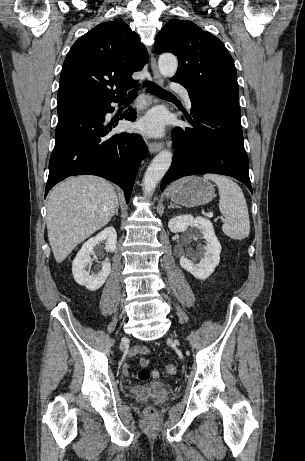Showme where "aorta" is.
Masks as SVG:
<instances>
[{
  "label": "aorta",
  "mask_w": 305,
  "mask_h": 461,
  "mask_svg": "<svg viewBox=\"0 0 305 461\" xmlns=\"http://www.w3.org/2000/svg\"><path fill=\"white\" fill-rule=\"evenodd\" d=\"M158 67L162 76L172 77L177 71V58L172 54H163L159 57ZM172 156L171 151L165 149L152 160L143 178V193L145 196L153 194L157 184L170 168Z\"/></svg>",
  "instance_id": "aorta-1"
}]
</instances>
